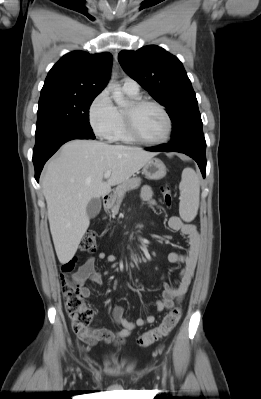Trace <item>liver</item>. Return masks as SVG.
Masks as SVG:
<instances>
[{"instance_id":"liver-1","label":"liver","mask_w":261,"mask_h":399,"mask_svg":"<svg viewBox=\"0 0 261 399\" xmlns=\"http://www.w3.org/2000/svg\"><path fill=\"white\" fill-rule=\"evenodd\" d=\"M155 153L100 141L72 140L46 166L41 186L55 251L65 264L75 255L90 220L86 207L92 198L107 195L127 181ZM106 171L111 175L106 182Z\"/></svg>"}]
</instances>
